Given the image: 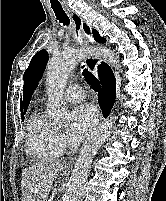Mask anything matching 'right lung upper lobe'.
<instances>
[{
    "instance_id": "obj_1",
    "label": "right lung upper lobe",
    "mask_w": 166,
    "mask_h": 201,
    "mask_svg": "<svg viewBox=\"0 0 166 201\" xmlns=\"http://www.w3.org/2000/svg\"><path fill=\"white\" fill-rule=\"evenodd\" d=\"M83 26H84L85 32L88 33L89 32V27L86 24H84ZM100 67H101V65L99 66V69H100ZM20 111H21V117L24 118L23 110H22V103H21V106H20Z\"/></svg>"
}]
</instances>
